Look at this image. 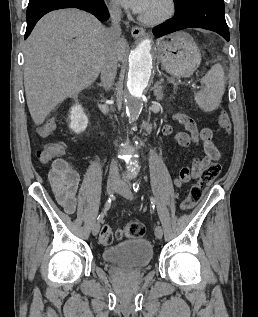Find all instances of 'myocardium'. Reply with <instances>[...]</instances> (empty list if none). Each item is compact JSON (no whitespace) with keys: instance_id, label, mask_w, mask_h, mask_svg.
<instances>
[{"instance_id":"myocardium-1","label":"myocardium","mask_w":258,"mask_h":317,"mask_svg":"<svg viewBox=\"0 0 258 317\" xmlns=\"http://www.w3.org/2000/svg\"><path fill=\"white\" fill-rule=\"evenodd\" d=\"M157 8L163 10L155 13ZM174 10V4L170 0H153L139 13V20L148 26H158L170 19Z\"/></svg>"}]
</instances>
